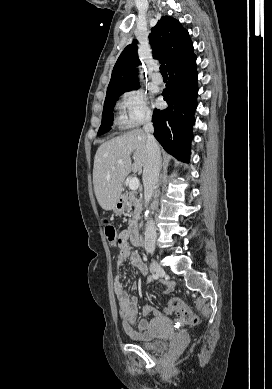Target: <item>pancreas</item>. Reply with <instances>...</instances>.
<instances>
[{"instance_id":"obj_1","label":"pancreas","mask_w":272,"mask_h":389,"mask_svg":"<svg viewBox=\"0 0 272 389\" xmlns=\"http://www.w3.org/2000/svg\"><path fill=\"white\" fill-rule=\"evenodd\" d=\"M126 210L130 212L132 207H134V212H131L130 215L132 218L129 221V227L133 228L137 226V220L142 210V200L137 198V193L134 191H129L126 193Z\"/></svg>"}]
</instances>
